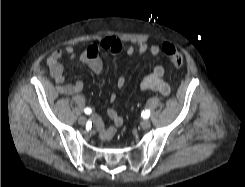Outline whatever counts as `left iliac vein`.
I'll use <instances>...</instances> for the list:
<instances>
[{
  "label": "left iliac vein",
  "mask_w": 245,
  "mask_h": 187,
  "mask_svg": "<svg viewBox=\"0 0 245 187\" xmlns=\"http://www.w3.org/2000/svg\"><path fill=\"white\" fill-rule=\"evenodd\" d=\"M140 126L143 128V129H147L151 126V122L149 119H144L140 122Z\"/></svg>",
  "instance_id": "1"
}]
</instances>
